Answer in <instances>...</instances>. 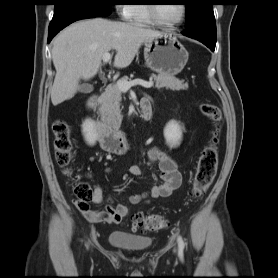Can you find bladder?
I'll list each match as a JSON object with an SVG mask.
<instances>
[{"instance_id": "bladder-1", "label": "bladder", "mask_w": 278, "mask_h": 278, "mask_svg": "<svg viewBox=\"0 0 278 278\" xmlns=\"http://www.w3.org/2000/svg\"><path fill=\"white\" fill-rule=\"evenodd\" d=\"M108 240L111 246L126 251H143L152 244L150 237L133 235L122 231H113Z\"/></svg>"}]
</instances>
